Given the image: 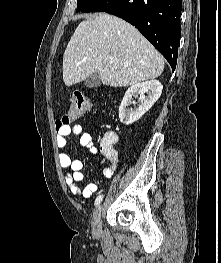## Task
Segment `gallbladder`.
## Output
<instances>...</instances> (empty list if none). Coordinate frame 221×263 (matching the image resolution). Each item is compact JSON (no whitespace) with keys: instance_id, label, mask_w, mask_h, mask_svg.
<instances>
[{"instance_id":"bac80fb5","label":"gallbladder","mask_w":221,"mask_h":263,"mask_svg":"<svg viewBox=\"0 0 221 263\" xmlns=\"http://www.w3.org/2000/svg\"><path fill=\"white\" fill-rule=\"evenodd\" d=\"M101 83L100 76L97 72L92 73L85 81V86L88 88H97Z\"/></svg>"}]
</instances>
